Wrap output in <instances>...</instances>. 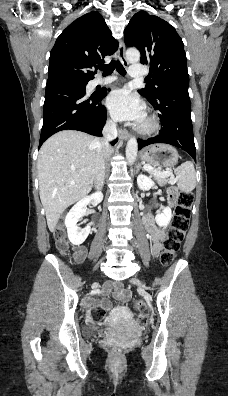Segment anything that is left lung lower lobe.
Returning a JSON list of instances; mask_svg holds the SVG:
<instances>
[{
	"label": "left lung lower lobe",
	"instance_id": "obj_1",
	"mask_svg": "<svg viewBox=\"0 0 228 396\" xmlns=\"http://www.w3.org/2000/svg\"><path fill=\"white\" fill-rule=\"evenodd\" d=\"M177 100L180 102L177 103ZM150 103L160 112L158 115L162 127L157 136L147 140L138 139V149L153 143H167L183 149L196 160L188 89H167Z\"/></svg>",
	"mask_w": 228,
	"mask_h": 396
}]
</instances>
